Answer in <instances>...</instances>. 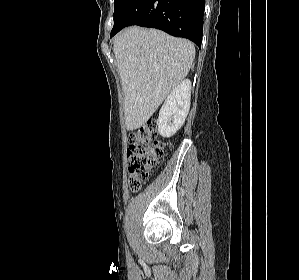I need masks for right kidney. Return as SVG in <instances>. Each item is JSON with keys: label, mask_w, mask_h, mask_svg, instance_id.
I'll return each mask as SVG.
<instances>
[{"label": "right kidney", "mask_w": 299, "mask_h": 280, "mask_svg": "<svg viewBox=\"0 0 299 280\" xmlns=\"http://www.w3.org/2000/svg\"><path fill=\"white\" fill-rule=\"evenodd\" d=\"M190 98L191 81L185 79L173 89L160 109L157 126L161 136L170 138L182 127L190 109Z\"/></svg>", "instance_id": "right-kidney-1"}]
</instances>
